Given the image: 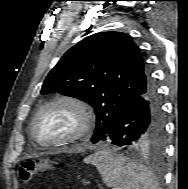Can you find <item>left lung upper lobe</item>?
<instances>
[{
	"mask_svg": "<svg viewBox=\"0 0 188 189\" xmlns=\"http://www.w3.org/2000/svg\"><path fill=\"white\" fill-rule=\"evenodd\" d=\"M152 81L148 66L131 36L93 34L70 48L46 77L41 93L59 92L90 104L96 113L91 142L113 126L141 86ZM162 136L144 137L135 148H158Z\"/></svg>",
	"mask_w": 188,
	"mask_h": 189,
	"instance_id": "left-lung-upper-lobe-1",
	"label": "left lung upper lobe"
}]
</instances>
